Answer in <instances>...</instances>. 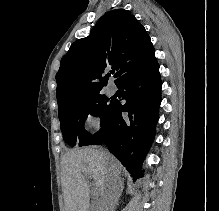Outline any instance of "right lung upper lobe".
<instances>
[{
	"label": "right lung upper lobe",
	"mask_w": 219,
	"mask_h": 211,
	"mask_svg": "<svg viewBox=\"0 0 219 211\" xmlns=\"http://www.w3.org/2000/svg\"><path fill=\"white\" fill-rule=\"evenodd\" d=\"M154 57L149 35L129 11L107 12L62 58L56 75L58 105L100 93L114 71L117 85Z\"/></svg>",
	"instance_id": "cb5924a9"
}]
</instances>
